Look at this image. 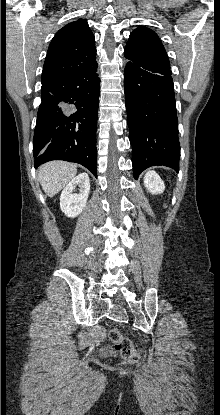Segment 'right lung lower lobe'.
<instances>
[{
	"label": "right lung lower lobe",
	"mask_w": 220,
	"mask_h": 415,
	"mask_svg": "<svg viewBox=\"0 0 220 415\" xmlns=\"http://www.w3.org/2000/svg\"><path fill=\"white\" fill-rule=\"evenodd\" d=\"M96 65L41 88L33 138L34 166L65 160L97 177L96 127L100 79Z\"/></svg>",
	"instance_id": "obj_1"
}]
</instances>
